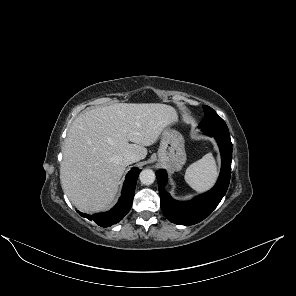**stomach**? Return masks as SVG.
Returning a JSON list of instances; mask_svg holds the SVG:
<instances>
[{
	"label": "stomach",
	"instance_id": "1",
	"mask_svg": "<svg viewBox=\"0 0 296 296\" xmlns=\"http://www.w3.org/2000/svg\"><path fill=\"white\" fill-rule=\"evenodd\" d=\"M158 162L173 171H179L183 167L186 152L181 133L173 129L164 130L158 149Z\"/></svg>",
	"mask_w": 296,
	"mask_h": 296
}]
</instances>
